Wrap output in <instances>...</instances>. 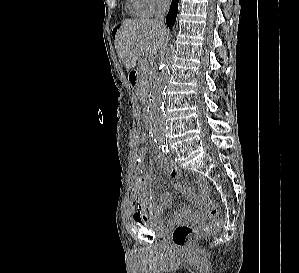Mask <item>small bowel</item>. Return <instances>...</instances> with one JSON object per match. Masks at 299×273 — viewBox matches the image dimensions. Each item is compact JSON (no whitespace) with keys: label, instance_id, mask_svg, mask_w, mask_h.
<instances>
[{"label":"small bowel","instance_id":"obj_1","mask_svg":"<svg viewBox=\"0 0 299 273\" xmlns=\"http://www.w3.org/2000/svg\"><path fill=\"white\" fill-rule=\"evenodd\" d=\"M149 149L141 148L137 155V166L141 169L144 156ZM157 165L162 167L172 178H180V171L175 164L165 158L163 155L157 156ZM151 177L147 174L137 177L135 180L134 205L136 210L133 219L139 222L147 216H155L159 219L164 217L165 211L171 207L172 195L169 192H163L160 195V203H157L152 190ZM177 189L194 203L199 204V198L185 185L178 184ZM193 215L191 209L187 205H182L174 213L173 220L180 221L182 219L191 218Z\"/></svg>","mask_w":299,"mask_h":273}]
</instances>
